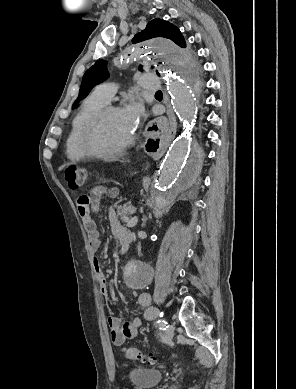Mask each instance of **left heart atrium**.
<instances>
[{
	"label": "left heart atrium",
	"instance_id": "left-heart-atrium-1",
	"mask_svg": "<svg viewBox=\"0 0 296 389\" xmlns=\"http://www.w3.org/2000/svg\"><path fill=\"white\" fill-rule=\"evenodd\" d=\"M122 112L125 115V118L131 129L134 130L137 127L140 117L143 114L142 106L139 103H131L126 106Z\"/></svg>",
	"mask_w": 296,
	"mask_h": 389
}]
</instances>
